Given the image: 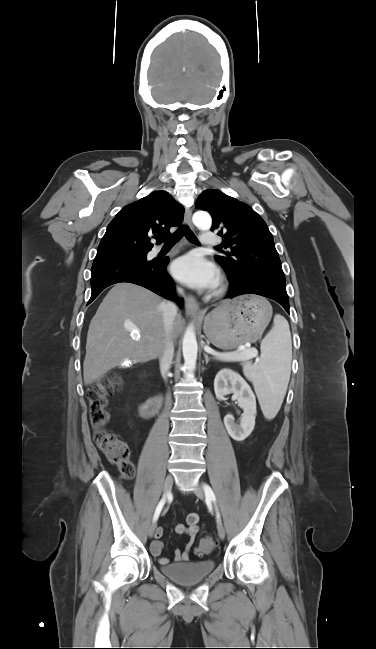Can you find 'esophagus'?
Returning <instances> with one entry per match:
<instances>
[{"mask_svg":"<svg viewBox=\"0 0 376 649\" xmlns=\"http://www.w3.org/2000/svg\"><path fill=\"white\" fill-rule=\"evenodd\" d=\"M191 216H192V209L188 208L186 210V213H185L184 223L187 226L193 228ZM185 309H186V312L188 314H190V315H200L201 314L200 309L198 307V304H197V302H196V300H195V298L193 296H188L186 298Z\"/></svg>","mask_w":376,"mask_h":649,"instance_id":"34e87169","label":"esophagus"}]
</instances>
